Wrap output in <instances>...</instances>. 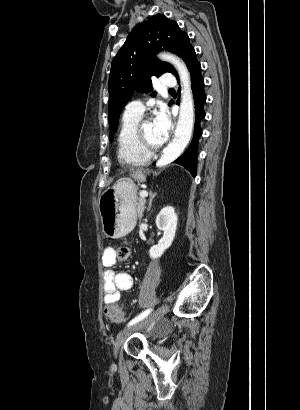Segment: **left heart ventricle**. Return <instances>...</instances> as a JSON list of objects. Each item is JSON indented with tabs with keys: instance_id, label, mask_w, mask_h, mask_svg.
Here are the masks:
<instances>
[{
	"instance_id": "left-heart-ventricle-1",
	"label": "left heart ventricle",
	"mask_w": 300,
	"mask_h": 410,
	"mask_svg": "<svg viewBox=\"0 0 300 410\" xmlns=\"http://www.w3.org/2000/svg\"><path fill=\"white\" fill-rule=\"evenodd\" d=\"M143 130H144L146 139L150 144L157 145L161 143L155 131L152 120H148L144 123Z\"/></svg>"
}]
</instances>
